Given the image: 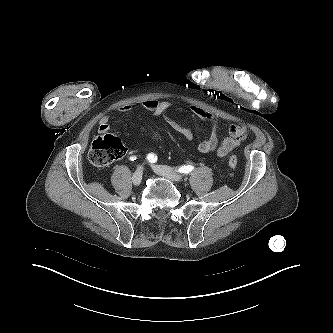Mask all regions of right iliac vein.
<instances>
[{"mask_svg": "<svg viewBox=\"0 0 333 333\" xmlns=\"http://www.w3.org/2000/svg\"><path fill=\"white\" fill-rule=\"evenodd\" d=\"M142 177H143V168L140 167L133 174V177H132L133 184L136 186L140 185L142 182Z\"/></svg>", "mask_w": 333, "mask_h": 333, "instance_id": "1", "label": "right iliac vein"}]
</instances>
